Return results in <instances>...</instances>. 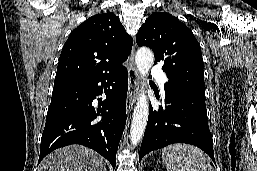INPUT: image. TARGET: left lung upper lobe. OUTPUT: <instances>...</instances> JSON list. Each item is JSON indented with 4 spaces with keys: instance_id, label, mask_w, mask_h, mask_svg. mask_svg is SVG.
Wrapping results in <instances>:
<instances>
[{
    "instance_id": "left-lung-upper-lobe-1",
    "label": "left lung upper lobe",
    "mask_w": 257,
    "mask_h": 171,
    "mask_svg": "<svg viewBox=\"0 0 257 171\" xmlns=\"http://www.w3.org/2000/svg\"><path fill=\"white\" fill-rule=\"evenodd\" d=\"M136 42L153 50L155 64L164 62L168 85L205 95L201 48L186 25L168 13L155 12L139 29Z\"/></svg>"
}]
</instances>
